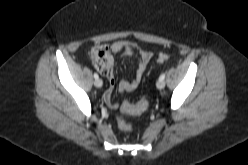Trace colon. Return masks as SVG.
Masks as SVG:
<instances>
[{
    "mask_svg": "<svg viewBox=\"0 0 248 165\" xmlns=\"http://www.w3.org/2000/svg\"><path fill=\"white\" fill-rule=\"evenodd\" d=\"M90 56L93 61L95 68L100 72H105L112 68L113 57L111 48L107 44H99L93 47L90 51ZM169 55L166 53H161L157 57V61L159 63H163L167 61ZM115 107V104H112ZM149 106L148 98H141L137 103L124 102L121 106L122 113H135L139 114L144 112ZM118 127L120 130L124 132H131L132 126L131 124L122 116L118 117Z\"/></svg>",
    "mask_w": 248,
    "mask_h": 165,
    "instance_id": "colon-1",
    "label": "colon"
}]
</instances>
